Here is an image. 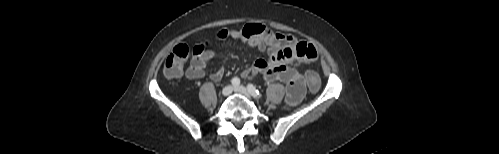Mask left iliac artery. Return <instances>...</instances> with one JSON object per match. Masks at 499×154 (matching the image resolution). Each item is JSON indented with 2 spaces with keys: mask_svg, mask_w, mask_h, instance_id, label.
Returning a JSON list of instances; mask_svg holds the SVG:
<instances>
[{
  "mask_svg": "<svg viewBox=\"0 0 499 154\" xmlns=\"http://www.w3.org/2000/svg\"><path fill=\"white\" fill-rule=\"evenodd\" d=\"M247 89L250 92V94H252L254 97H257V98L262 97V94L259 92L258 89H256V87L254 85L248 84Z\"/></svg>",
  "mask_w": 499,
  "mask_h": 154,
  "instance_id": "left-iliac-artery-1",
  "label": "left iliac artery"
}]
</instances>
